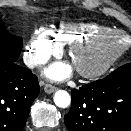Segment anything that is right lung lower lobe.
<instances>
[{
  "instance_id": "98d812e1",
  "label": "right lung lower lobe",
  "mask_w": 131,
  "mask_h": 131,
  "mask_svg": "<svg viewBox=\"0 0 131 131\" xmlns=\"http://www.w3.org/2000/svg\"><path fill=\"white\" fill-rule=\"evenodd\" d=\"M39 91L29 69L0 59V131H22Z\"/></svg>"
}]
</instances>
